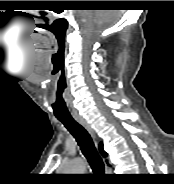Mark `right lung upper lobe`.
I'll use <instances>...</instances> for the list:
<instances>
[{
	"mask_svg": "<svg viewBox=\"0 0 174 184\" xmlns=\"http://www.w3.org/2000/svg\"><path fill=\"white\" fill-rule=\"evenodd\" d=\"M100 151H101V153L105 156L106 155V153L104 152V150H103V147H102V143H100Z\"/></svg>",
	"mask_w": 174,
	"mask_h": 184,
	"instance_id": "right-lung-upper-lobe-1",
	"label": "right lung upper lobe"
}]
</instances>
